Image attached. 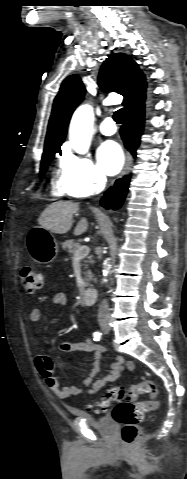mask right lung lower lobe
<instances>
[{"label":"right lung lower lobe","mask_w":187,"mask_h":479,"mask_svg":"<svg viewBox=\"0 0 187 479\" xmlns=\"http://www.w3.org/2000/svg\"><path fill=\"white\" fill-rule=\"evenodd\" d=\"M145 116V105L138 108H133L125 112V123L121 127V137L125 147L135 156V151L140 144V136L143 132ZM130 175L118 179L114 186L111 187L101 200V205L107 209L114 210L120 208L122 205L128 185Z\"/></svg>","instance_id":"right-lung-lower-lobe-1"}]
</instances>
